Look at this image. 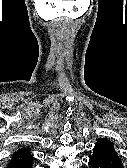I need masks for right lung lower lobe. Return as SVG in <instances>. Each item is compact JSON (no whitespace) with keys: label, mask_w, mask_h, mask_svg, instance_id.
Listing matches in <instances>:
<instances>
[{"label":"right lung lower lobe","mask_w":127,"mask_h":168,"mask_svg":"<svg viewBox=\"0 0 127 168\" xmlns=\"http://www.w3.org/2000/svg\"><path fill=\"white\" fill-rule=\"evenodd\" d=\"M32 160L31 156L12 158L7 168H32Z\"/></svg>","instance_id":"1"}]
</instances>
